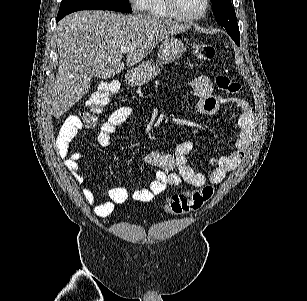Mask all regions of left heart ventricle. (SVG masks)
Returning a JSON list of instances; mask_svg holds the SVG:
<instances>
[{
  "label": "left heart ventricle",
  "instance_id": "b2bd125f",
  "mask_svg": "<svg viewBox=\"0 0 307 301\" xmlns=\"http://www.w3.org/2000/svg\"><path fill=\"white\" fill-rule=\"evenodd\" d=\"M201 5L202 0H176L175 13H194L201 10Z\"/></svg>",
  "mask_w": 307,
  "mask_h": 301
}]
</instances>
